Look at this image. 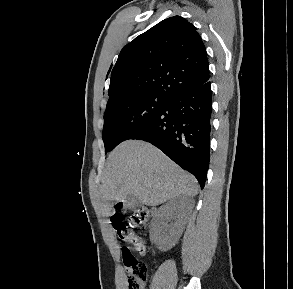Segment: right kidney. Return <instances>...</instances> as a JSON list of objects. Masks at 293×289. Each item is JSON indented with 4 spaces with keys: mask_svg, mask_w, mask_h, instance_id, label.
Listing matches in <instances>:
<instances>
[{
    "mask_svg": "<svg viewBox=\"0 0 293 289\" xmlns=\"http://www.w3.org/2000/svg\"><path fill=\"white\" fill-rule=\"evenodd\" d=\"M183 208V199L176 197L161 206L157 212L154 226L159 233H162L161 243L167 248L175 245L185 228L186 215ZM168 217L174 222H171L169 226H163V220Z\"/></svg>",
    "mask_w": 293,
    "mask_h": 289,
    "instance_id": "1",
    "label": "right kidney"
}]
</instances>
